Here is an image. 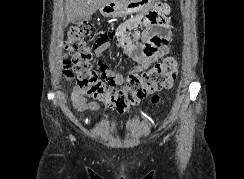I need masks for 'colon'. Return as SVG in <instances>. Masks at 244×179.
<instances>
[{
	"label": "colon",
	"instance_id": "1",
	"mask_svg": "<svg viewBox=\"0 0 244 179\" xmlns=\"http://www.w3.org/2000/svg\"><path fill=\"white\" fill-rule=\"evenodd\" d=\"M92 32L93 25L81 23L72 26L66 33L64 75L73 80L87 96L105 102L110 110L119 114L129 111L151 93H156L151 97L152 105H159L161 97L158 93L173 85L179 72L178 61L173 57L166 58L139 74L129 76L123 87L111 88L97 71L91 47L85 41Z\"/></svg>",
	"mask_w": 244,
	"mask_h": 179
}]
</instances>
